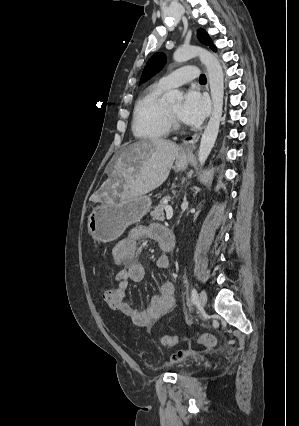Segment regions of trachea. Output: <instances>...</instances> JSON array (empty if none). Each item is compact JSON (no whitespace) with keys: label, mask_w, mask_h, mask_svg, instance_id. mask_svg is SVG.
Listing matches in <instances>:
<instances>
[{"label":"trachea","mask_w":299,"mask_h":426,"mask_svg":"<svg viewBox=\"0 0 299 426\" xmlns=\"http://www.w3.org/2000/svg\"><path fill=\"white\" fill-rule=\"evenodd\" d=\"M199 81L202 82V83H205L206 82V76L204 74H202L199 78Z\"/></svg>","instance_id":"obj_1"}]
</instances>
